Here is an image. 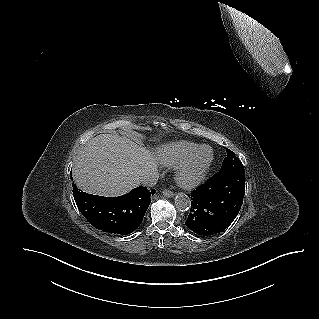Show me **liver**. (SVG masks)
Here are the masks:
<instances>
[{"label": "liver", "instance_id": "liver-1", "mask_svg": "<svg viewBox=\"0 0 319 319\" xmlns=\"http://www.w3.org/2000/svg\"><path fill=\"white\" fill-rule=\"evenodd\" d=\"M154 153L118 134H100L78 153L73 167L75 184L83 191L120 196L139 186L145 173L156 170Z\"/></svg>", "mask_w": 319, "mask_h": 319}]
</instances>
